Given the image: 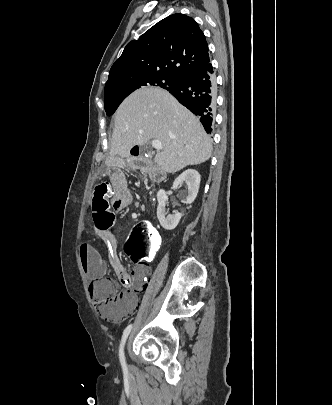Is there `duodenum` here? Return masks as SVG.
Segmentation results:
<instances>
[{"mask_svg":"<svg viewBox=\"0 0 332 405\" xmlns=\"http://www.w3.org/2000/svg\"><path fill=\"white\" fill-rule=\"evenodd\" d=\"M131 155L133 157H137V156H139V152L132 151ZM150 177H151L152 181H154L156 183H160V182L164 181V179H165V177L161 173L155 172V171L150 172Z\"/></svg>","mask_w":332,"mask_h":405,"instance_id":"obj_1","label":"duodenum"}]
</instances>
